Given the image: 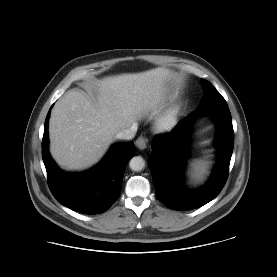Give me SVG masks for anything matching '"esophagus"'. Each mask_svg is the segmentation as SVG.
Returning a JSON list of instances; mask_svg holds the SVG:
<instances>
[{"label":"esophagus","mask_w":277,"mask_h":277,"mask_svg":"<svg viewBox=\"0 0 277 277\" xmlns=\"http://www.w3.org/2000/svg\"><path fill=\"white\" fill-rule=\"evenodd\" d=\"M136 146L138 149L143 150L146 148L147 146V139L143 136H140L137 140H136Z\"/></svg>","instance_id":"34e87169"}]
</instances>
